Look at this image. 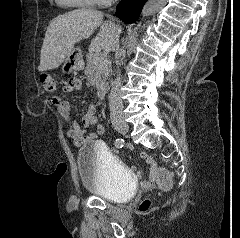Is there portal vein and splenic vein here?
Instances as JSON below:
<instances>
[{"label":"portal vein and splenic vein","instance_id":"18ae733b","mask_svg":"<svg viewBox=\"0 0 240 238\" xmlns=\"http://www.w3.org/2000/svg\"><path fill=\"white\" fill-rule=\"evenodd\" d=\"M97 54V53H96ZM98 62H100L101 65H105L106 63H110V62H107L106 60L104 59H97Z\"/></svg>","mask_w":240,"mask_h":238}]
</instances>
